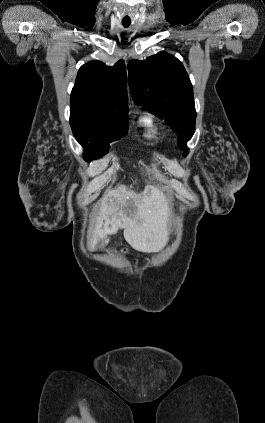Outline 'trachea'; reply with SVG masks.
<instances>
[{
    "label": "trachea",
    "mask_w": 265,
    "mask_h": 423,
    "mask_svg": "<svg viewBox=\"0 0 265 423\" xmlns=\"http://www.w3.org/2000/svg\"><path fill=\"white\" fill-rule=\"evenodd\" d=\"M130 24H131V22H125V21H122V25H123L125 28L129 27V26H130Z\"/></svg>",
    "instance_id": "trachea-1"
}]
</instances>
